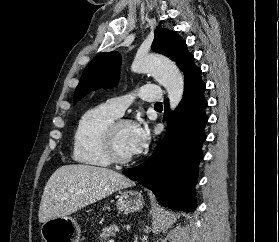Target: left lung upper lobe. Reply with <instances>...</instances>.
<instances>
[{
	"label": "left lung upper lobe",
	"mask_w": 279,
	"mask_h": 242,
	"mask_svg": "<svg viewBox=\"0 0 279 242\" xmlns=\"http://www.w3.org/2000/svg\"><path fill=\"white\" fill-rule=\"evenodd\" d=\"M152 50L174 60L182 69L184 62L192 55L186 42L176 32L159 28L155 30ZM121 56L118 52H105L94 57L82 73L75 91L74 104L92 89L114 85L119 77Z\"/></svg>",
	"instance_id": "obj_1"
}]
</instances>
